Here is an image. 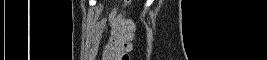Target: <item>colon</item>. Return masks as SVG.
Masks as SVG:
<instances>
[{"mask_svg": "<svg viewBox=\"0 0 267 60\" xmlns=\"http://www.w3.org/2000/svg\"><path fill=\"white\" fill-rule=\"evenodd\" d=\"M111 21L114 29L101 57L103 60H129L136 23L126 13L116 15Z\"/></svg>", "mask_w": 267, "mask_h": 60, "instance_id": "1", "label": "colon"}]
</instances>
